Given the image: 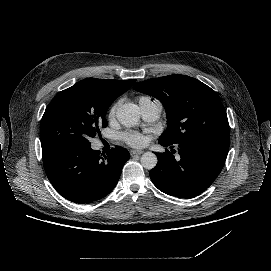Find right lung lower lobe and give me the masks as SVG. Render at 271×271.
<instances>
[{"label": "right lung lower lobe", "instance_id": "1", "mask_svg": "<svg viewBox=\"0 0 271 271\" xmlns=\"http://www.w3.org/2000/svg\"><path fill=\"white\" fill-rule=\"evenodd\" d=\"M42 152L46 174L56 191L67 200L81 204L108 195L130 157L128 150L120 146L102 157L90 145L74 143L47 146Z\"/></svg>", "mask_w": 271, "mask_h": 271}]
</instances>
